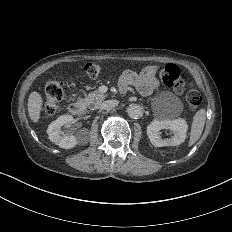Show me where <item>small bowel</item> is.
<instances>
[{
  "mask_svg": "<svg viewBox=\"0 0 232 232\" xmlns=\"http://www.w3.org/2000/svg\"><path fill=\"white\" fill-rule=\"evenodd\" d=\"M156 72V66H149L141 73L126 70L123 72V77L132 83L144 97H149L161 88Z\"/></svg>",
  "mask_w": 232,
  "mask_h": 232,
  "instance_id": "obj_1",
  "label": "small bowel"
}]
</instances>
